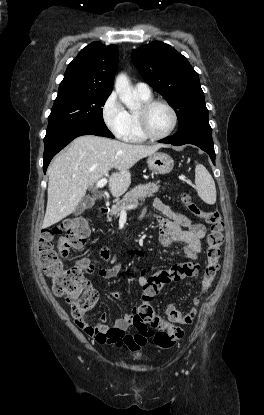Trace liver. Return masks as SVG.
<instances>
[{"label": "liver", "instance_id": "obj_1", "mask_svg": "<svg viewBox=\"0 0 264 415\" xmlns=\"http://www.w3.org/2000/svg\"><path fill=\"white\" fill-rule=\"evenodd\" d=\"M161 147L164 146L129 144L94 135L74 139L48 167V200L42 227L48 228L74 212L88 187L103 176L109 178L111 194L120 197L131 184L129 169ZM112 168L117 171L109 175Z\"/></svg>", "mask_w": 264, "mask_h": 415}]
</instances>
